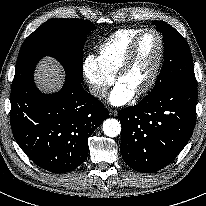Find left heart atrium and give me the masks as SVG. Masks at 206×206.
Masks as SVG:
<instances>
[{
  "label": "left heart atrium",
  "mask_w": 206,
  "mask_h": 206,
  "mask_svg": "<svg viewBox=\"0 0 206 206\" xmlns=\"http://www.w3.org/2000/svg\"><path fill=\"white\" fill-rule=\"evenodd\" d=\"M134 96V92L121 83H117L112 90L109 100L114 106H121L128 103Z\"/></svg>",
  "instance_id": "1"
}]
</instances>
